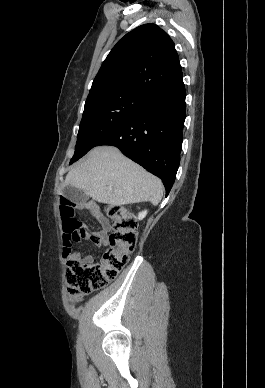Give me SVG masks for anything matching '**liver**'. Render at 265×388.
Wrapping results in <instances>:
<instances>
[{
  "mask_svg": "<svg viewBox=\"0 0 265 388\" xmlns=\"http://www.w3.org/2000/svg\"><path fill=\"white\" fill-rule=\"evenodd\" d=\"M64 186L79 188L92 200L123 206L136 202L159 204L164 186L156 176L143 170L113 146H98L87 160L68 172Z\"/></svg>",
  "mask_w": 265,
  "mask_h": 388,
  "instance_id": "liver-1",
  "label": "liver"
}]
</instances>
